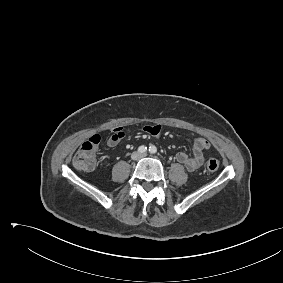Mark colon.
Returning a JSON list of instances; mask_svg holds the SVG:
<instances>
[{"label": "colon", "mask_w": 283, "mask_h": 283, "mask_svg": "<svg viewBox=\"0 0 283 283\" xmlns=\"http://www.w3.org/2000/svg\"><path fill=\"white\" fill-rule=\"evenodd\" d=\"M100 143V136L93 135L85 141L73 157V165L83 171H90L96 164V152ZM206 168L210 172H215L219 168V161L216 158H209Z\"/></svg>", "instance_id": "colon-1"}]
</instances>
